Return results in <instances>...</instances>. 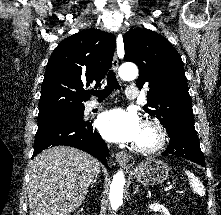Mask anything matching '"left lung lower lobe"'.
<instances>
[{"label": "left lung lower lobe", "instance_id": "0a47b994", "mask_svg": "<svg viewBox=\"0 0 221 215\" xmlns=\"http://www.w3.org/2000/svg\"><path fill=\"white\" fill-rule=\"evenodd\" d=\"M166 130L170 142L162 155L173 154L205 166L204 155L200 149L194 126L166 128Z\"/></svg>", "mask_w": 221, "mask_h": 215}]
</instances>
